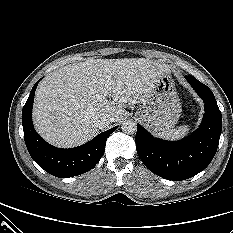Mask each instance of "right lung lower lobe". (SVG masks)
Here are the masks:
<instances>
[{"label":"right lung lower lobe","mask_w":233,"mask_h":233,"mask_svg":"<svg viewBox=\"0 0 233 233\" xmlns=\"http://www.w3.org/2000/svg\"><path fill=\"white\" fill-rule=\"evenodd\" d=\"M38 82L33 86L22 111L24 140L32 159L46 172L59 178L77 176L91 170L103 156L108 136L117 127L75 148L61 149L48 144L36 133L32 123V104Z\"/></svg>","instance_id":"1"}]
</instances>
